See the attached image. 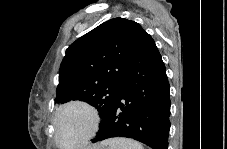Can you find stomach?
I'll list each match as a JSON object with an SVG mask.
<instances>
[{"label":"stomach","instance_id":"stomach-1","mask_svg":"<svg viewBox=\"0 0 227 149\" xmlns=\"http://www.w3.org/2000/svg\"><path fill=\"white\" fill-rule=\"evenodd\" d=\"M91 149H105V148L103 146H99V147L91 148Z\"/></svg>","mask_w":227,"mask_h":149}]
</instances>
